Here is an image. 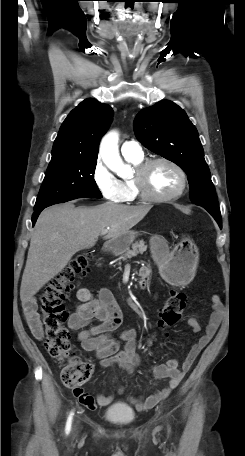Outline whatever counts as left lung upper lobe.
Listing matches in <instances>:
<instances>
[{
  "label": "left lung upper lobe",
  "mask_w": 245,
  "mask_h": 456,
  "mask_svg": "<svg viewBox=\"0 0 245 456\" xmlns=\"http://www.w3.org/2000/svg\"><path fill=\"white\" fill-rule=\"evenodd\" d=\"M137 139L154 153L176 163L188 176L193 203L221 218L217 195L195 126L184 110L163 100L135 117Z\"/></svg>",
  "instance_id": "left-lung-upper-lobe-1"
}]
</instances>
